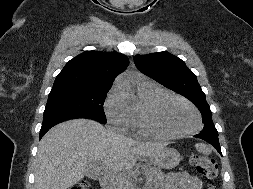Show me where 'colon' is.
I'll list each match as a JSON object with an SVG mask.
<instances>
[{"label":"colon","mask_w":253,"mask_h":189,"mask_svg":"<svg viewBox=\"0 0 253 189\" xmlns=\"http://www.w3.org/2000/svg\"><path fill=\"white\" fill-rule=\"evenodd\" d=\"M191 164L200 175L210 182L206 189H216L213 182L218 177L217 163L206 156L195 154L191 158ZM69 189H89V184L83 180L72 185Z\"/></svg>","instance_id":"5ec220e1"}]
</instances>
